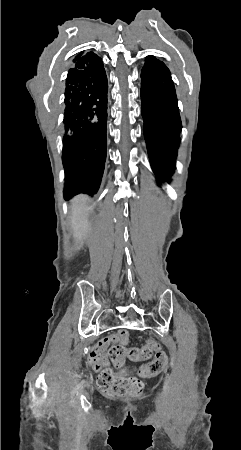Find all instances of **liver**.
Listing matches in <instances>:
<instances>
[{"label": "liver", "instance_id": "1", "mask_svg": "<svg viewBox=\"0 0 241 450\" xmlns=\"http://www.w3.org/2000/svg\"><path fill=\"white\" fill-rule=\"evenodd\" d=\"M89 196L80 194L75 196L72 202L71 226L73 230V238L76 240V250H80L86 240L89 232L90 224L88 222L89 210L86 206Z\"/></svg>", "mask_w": 241, "mask_h": 450}]
</instances>
